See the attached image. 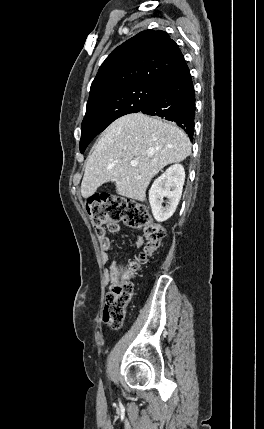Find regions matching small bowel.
Instances as JSON below:
<instances>
[{"label":"small bowel","mask_w":264,"mask_h":429,"mask_svg":"<svg viewBox=\"0 0 264 429\" xmlns=\"http://www.w3.org/2000/svg\"><path fill=\"white\" fill-rule=\"evenodd\" d=\"M120 229V226L115 221H110L107 223L106 229H103L102 233H97V238L100 244V248L102 251V259L104 262H108L109 260V253L112 248L111 240L107 236V231L110 233L118 232ZM144 244V238L142 236H138L135 240V245L137 247H141ZM109 278L114 282L117 277L115 275H110Z\"/></svg>","instance_id":"small-bowel-1"}]
</instances>
